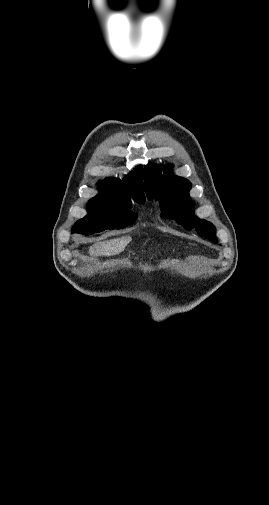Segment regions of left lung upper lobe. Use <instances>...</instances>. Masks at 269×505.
I'll use <instances>...</instances> for the list:
<instances>
[{
	"label": "left lung upper lobe",
	"instance_id": "5c2ea615",
	"mask_svg": "<svg viewBox=\"0 0 269 505\" xmlns=\"http://www.w3.org/2000/svg\"><path fill=\"white\" fill-rule=\"evenodd\" d=\"M169 168L170 166H145V190L148 199L159 200L163 218L175 219L188 230L195 228L200 236L217 243L214 225L194 215L193 203L189 197L190 182L183 177L174 176ZM162 169L164 175L161 173Z\"/></svg>",
	"mask_w": 269,
	"mask_h": 505
}]
</instances>
